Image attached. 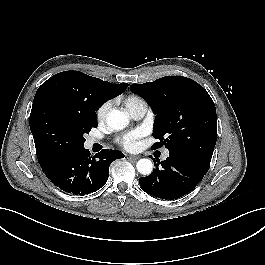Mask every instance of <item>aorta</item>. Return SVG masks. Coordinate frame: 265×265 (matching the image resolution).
Segmentation results:
<instances>
[{
  "mask_svg": "<svg viewBox=\"0 0 265 265\" xmlns=\"http://www.w3.org/2000/svg\"><path fill=\"white\" fill-rule=\"evenodd\" d=\"M107 125L113 130H122L129 124V117L120 110H111L107 114ZM137 170L142 175H150L153 170V163L150 159L143 158L137 162Z\"/></svg>",
  "mask_w": 265,
  "mask_h": 265,
  "instance_id": "aorta-1",
  "label": "aorta"
}]
</instances>
